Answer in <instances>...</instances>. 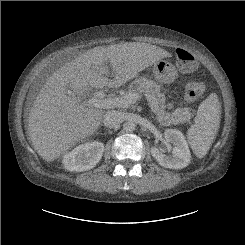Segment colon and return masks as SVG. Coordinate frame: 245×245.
I'll list each match as a JSON object with an SVG mask.
<instances>
[{
	"label": "colon",
	"mask_w": 245,
	"mask_h": 245,
	"mask_svg": "<svg viewBox=\"0 0 245 245\" xmlns=\"http://www.w3.org/2000/svg\"><path fill=\"white\" fill-rule=\"evenodd\" d=\"M177 65L181 72H191L196 66L197 62L194 55L185 48H178L176 50ZM205 91V85L201 81L189 82L185 89V97L187 100L193 101L198 99Z\"/></svg>",
	"instance_id": "colon-1"
}]
</instances>
